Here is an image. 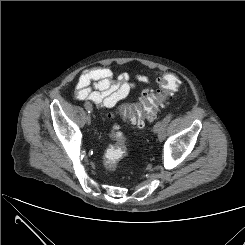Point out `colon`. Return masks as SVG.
Here are the masks:
<instances>
[{"label":"colon","mask_w":245,"mask_h":245,"mask_svg":"<svg viewBox=\"0 0 245 245\" xmlns=\"http://www.w3.org/2000/svg\"><path fill=\"white\" fill-rule=\"evenodd\" d=\"M179 87V80L173 73H166L157 80V88L143 90L138 102L125 109V117L129 124L137 128H143L146 120L156 117L158 107L162 101L172 95ZM115 144L103 154V163L108 167H114L116 163L128 153L127 144L118 127H113Z\"/></svg>","instance_id":"obj_1"}]
</instances>
